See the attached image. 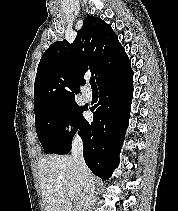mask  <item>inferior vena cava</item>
I'll return each instance as SVG.
<instances>
[{
  "instance_id": "inferior-vena-cava-1",
  "label": "inferior vena cava",
  "mask_w": 178,
  "mask_h": 211,
  "mask_svg": "<svg viewBox=\"0 0 178 211\" xmlns=\"http://www.w3.org/2000/svg\"><path fill=\"white\" fill-rule=\"evenodd\" d=\"M71 153L84 186L85 196L80 211H92L95 202V182L92 173L84 161L83 143L78 136L73 140Z\"/></svg>"
}]
</instances>
